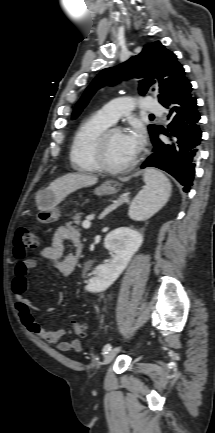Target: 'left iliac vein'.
Returning <instances> with one entry per match:
<instances>
[{
	"mask_svg": "<svg viewBox=\"0 0 215 433\" xmlns=\"http://www.w3.org/2000/svg\"><path fill=\"white\" fill-rule=\"evenodd\" d=\"M121 348L116 347L108 351L104 358V364L107 365L112 362V360L115 358V356L120 352Z\"/></svg>",
	"mask_w": 215,
	"mask_h": 433,
	"instance_id": "obj_1",
	"label": "left iliac vein"
}]
</instances>
